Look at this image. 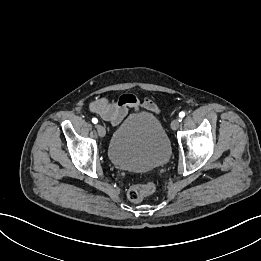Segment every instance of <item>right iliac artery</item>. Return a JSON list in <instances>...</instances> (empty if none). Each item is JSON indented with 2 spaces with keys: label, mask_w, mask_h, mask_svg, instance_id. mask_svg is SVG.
<instances>
[{
  "label": "right iliac artery",
  "mask_w": 261,
  "mask_h": 261,
  "mask_svg": "<svg viewBox=\"0 0 261 261\" xmlns=\"http://www.w3.org/2000/svg\"><path fill=\"white\" fill-rule=\"evenodd\" d=\"M92 122L94 123V124H97L98 123V119L97 118H92Z\"/></svg>",
  "instance_id": "82829eb1"
}]
</instances>
